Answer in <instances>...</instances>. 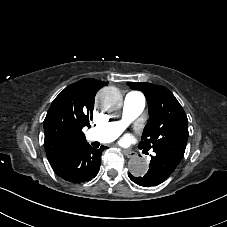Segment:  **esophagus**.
<instances>
[{"label":"esophagus","instance_id":"esophagus-1","mask_svg":"<svg viewBox=\"0 0 227 227\" xmlns=\"http://www.w3.org/2000/svg\"><path fill=\"white\" fill-rule=\"evenodd\" d=\"M123 153L128 157V158H133L137 156V153L134 151L122 149Z\"/></svg>","mask_w":227,"mask_h":227}]
</instances>
